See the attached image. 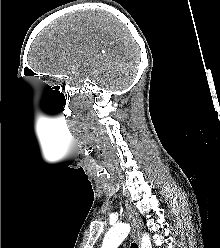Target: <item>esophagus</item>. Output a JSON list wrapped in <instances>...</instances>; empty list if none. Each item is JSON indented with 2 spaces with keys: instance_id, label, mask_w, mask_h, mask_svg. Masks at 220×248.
Here are the masks:
<instances>
[{
  "instance_id": "34e87169",
  "label": "esophagus",
  "mask_w": 220,
  "mask_h": 248,
  "mask_svg": "<svg viewBox=\"0 0 220 248\" xmlns=\"http://www.w3.org/2000/svg\"><path fill=\"white\" fill-rule=\"evenodd\" d=\"M126 209H127V214L133 223V237L137 241V244L140 248V245H141L140 239L141 238H140L139 228H140L141 221H140L137 213L133 209V207L131 205H129L128 203H126Z\"/></svg>"
}]
</instances>
